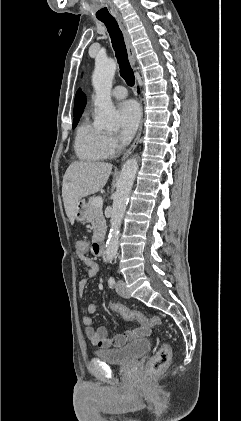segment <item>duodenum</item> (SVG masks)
<instances>
[{
  "instance_id": "obj_1",
  "label": "duodenum",
  "mask_w": 241,
  "mask_h": 421,
  "mask_svg": "<svg viewBox=\"0 0 241 421\" xmlns=\"http://www.w3.org/2000/svg\"><path fill=\"white\" fill-rule=\"evenodd\" d=\"M92 252L96 256H102L105 252V242L102 238H98L92 245Z\"/></svg>"
}]
</instances>
